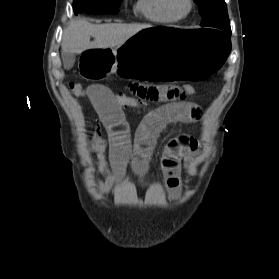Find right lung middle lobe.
I'll list each match as a JSON object with an SVG mask.
<instances>
[{
  "instance_id": "obj_1",
  "label": "right lung middle lobe",
  "mask_w": 279,
  "mask_h": 279,
  "mask_svg": "<svg viewBox=\"0 0 279 279\" xmlns=\"http://www.w3.org/2000/svg\"><path fill=\"white\" fill-rule=\"evenodd\" d=\"M122 0H74V13L117 14Z\"/></svg>"
}]
</instances>
